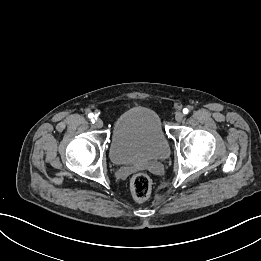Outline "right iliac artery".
Segmentation results:
<instances>
[{"label":"right iliac artery","mask_w":261,"mask_h":261,"mask_svg":"<svg viewBox=\"0 0 261 261\" xmlns=\"http://www.w3.org/2000/svg\"><path fill=\"white\" fill-rule=\"evenodd\" d=\"M88 117L91 119L92 123H95L94 115L92 113H89Z\"/></svg>","instance_id":"82829eb1"}]
</instances>
